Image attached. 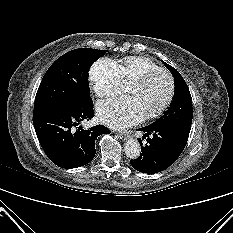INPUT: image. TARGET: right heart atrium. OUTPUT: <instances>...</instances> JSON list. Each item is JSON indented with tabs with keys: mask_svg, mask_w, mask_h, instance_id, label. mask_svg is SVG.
<instances>
[{
	"mask_svg": "<svg viewBox=\"0 0 233 233\" xmlns=\"http://www.w3.org/2000/svg\"><path fill=\"white\" fill-rule=\"evenodd\" d=\"M89 79L95 94L100 98L116 93L122 80L115 62L107 58H101L91 66Z\"/></svg>",
	"mask_w": 233,
	"mask_h": 233,
	"instance_id": "right-heart-atrium-1",
	"label": "right heart atrium"
}]
</instances>
